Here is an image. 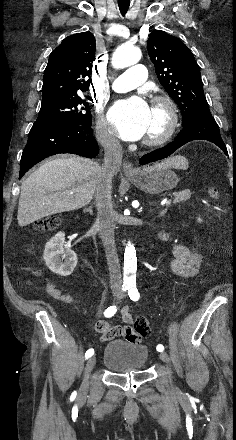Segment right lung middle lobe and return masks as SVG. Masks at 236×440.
<instances>
[{"instance_id": "dd1d6c3e", "label": "right lung middle lobe", "mask_w": 236, "mask_h": 440, "mask_svg": "<svg viewBox=\"0 0 236 440\" xmlns=\"http://www.w3.org/2000/svg\"><path fill=\"white\" fill-rule=\"evenodd\" d=\"M37 121H56L84 126L92 124L89 105L80 96L41 105Z\"/></svg>"}]
</instances>
